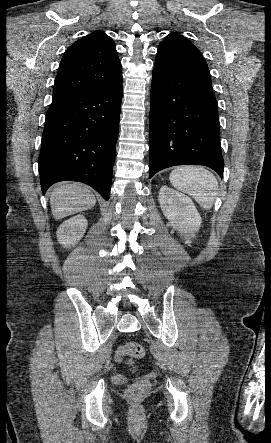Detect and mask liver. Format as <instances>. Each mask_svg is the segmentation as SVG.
Here are the masks:
<instances>
[{"instance_id":"6515ba94","label":"liver","mask_w":271,"mask_h":443,"mask_svg":"<svg viewBox=\"0 0 271 443\" xmlns=\"http://www.w3.org/2000/svg\"><path fill=\"white\" fill-rule=\"evenodd\" d=\"M95 204L96 198L88 188H81L79 184H68V182L56 186L50 196L51 212L55 220L83 212Z\"/></svg>"}]
</instances>
